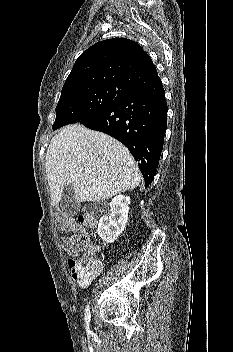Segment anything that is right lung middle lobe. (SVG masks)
<instances>
[{
    "label": "right lung middle lobe",
    "instance_id": "obj_1",
    "mask_svg": "<svg viewBox=\"0 0 233 352\" xmlns=\"http://www.w3.org/2000/svg\"><path fill=\"white\" fill-rule=\"evenodd\" d=\"M134 92L128 87L110 84L78 88L61 94L56 106V119L52 128L79 123Z\"/></svg>",
    "mask_w": 233,
    "mask_h": 352
}]
</instances>
